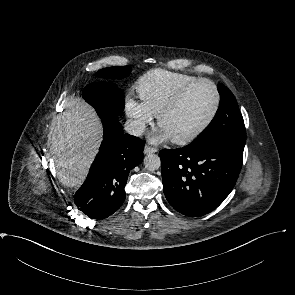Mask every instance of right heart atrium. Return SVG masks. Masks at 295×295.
<instances>
[{"mask_svg":"<svg viewBox=\"0 0 295 295\" xmlns=\"http://www.w3.org/2000/svg\"><path fill=\"white\" fill-rule=\"evenodd\" d=\"M126 113L132 119L133 131L136 135H141L146 127L153 123L154 114L143 101H138L133 97L126 100Z\"/></svg>","mask_w":295,"mask_h":295,"instance_id":"1","label":"right heart atrium"}]
</instances>
